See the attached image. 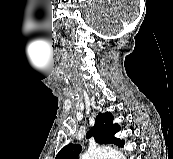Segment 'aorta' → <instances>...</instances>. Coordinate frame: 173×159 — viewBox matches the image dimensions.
Returning <instances> with one entry per match:
<instances>
[{
	"label": "aorta",
	"instance_id": "762f6f07",
	"mask_svg": "<svg viewBox=\"0 0 173 159\" xmlns=\"http://www.w3.org/2000/svg\"><path fill=\"white\" fill-rule=\"evenodd\" d=\"M80 159H126L124 154L110 147L89 149Z\"/></svg>",
	"mask_w": 173,
	"mask_h": 159
}]
</instances>
